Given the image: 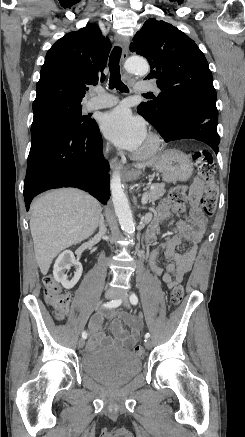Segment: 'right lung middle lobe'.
<instances>
[{"label": "right lung middle lobe", "instance_id": "dd1d6c3e", "mask_svg": "<svg viewBox=\"0 0 245 437\" xmlns=\"http://www.w3.org/2000/svg\"><path fill=\"white\" fill-rule=\"evenodd\" d=\"M33 113L32 137L52 125L77 131L86 129L95 122L91 118L82 115L81 104L54 102L33 107Z\"/></svg>", "mask_w": 245, "mask_h": 437}]
</instances>
